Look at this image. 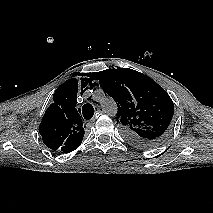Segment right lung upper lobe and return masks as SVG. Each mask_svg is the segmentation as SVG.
Segmentation results:
<instances>
[{"instance_id": "1", "label": "right lung upper lobe", "mask_w": 213, "mask_h": 213, "mask_svg": "<svg viewBox=\"0 0 213 213\" xmlns=\"http://www.w3.org/2000/svg\"><path fill=\"white\" fill-rule=\"evenodd\" d=\"M84 80H82L81 86L76 78L61 84L53 95L54 102L45 111L39 126V133L44 144L54 151L71 152L82 142L84 126L76 109V99L80 87L81 93L87 89L85 87L88 80L85 83ZM91 80L94 79L91 78ZM91 83L92 81L89 82V85Z\"/></svg>"}]
</instances>
